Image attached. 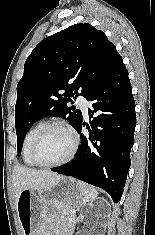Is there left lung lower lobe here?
<instances>
[{"instance_id":"0a47b994","label":"left lung lower lobe","mask_w":155,"mask_h":235,"mask_svg":"<svg viewBox=\"0 0 155 235\" xmlns=\"http://www.w3.org/2000/svg\"><path fill=\"white\" fill-rule=\"evenodd\" d=\"M86 99L92 102L89 137L81 134L85 125L81 119L76 127L81 138L76 157L51 170L100 187L117 203L131 163L136 126L132 87L121 57Z\"/></svg>"}]
</instances>
